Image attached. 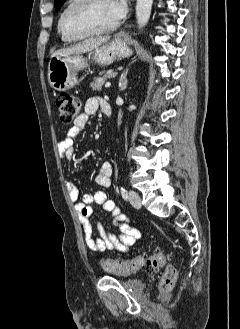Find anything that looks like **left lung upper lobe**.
<instances>
[{
    "label": "left lung upper lobe",
    "mask_w": 240,
    "mask_h": 329,
    "mask_svg": "<svg viewBox=\"0 0 240 329\" xmlns=\"http://www.w3.org/2000/svg\"><path fill=\"white\" fill-rule=\"evenodd\" d=\"M64 2L65 0H55V9L59 10Z\"/></svg>",
    "instance_id": "obj_1"
}]
</instances>
